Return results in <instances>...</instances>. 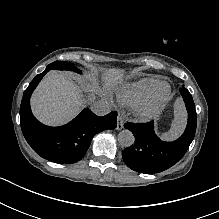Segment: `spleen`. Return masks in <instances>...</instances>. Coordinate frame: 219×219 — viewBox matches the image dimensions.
Returning <instances> with one entry per match:
<instances>
[{"mask_svg": "<svg viewBox=\"0 0 219 219\" xmlns=\"http://www.w3.org/2000/svg\"><path fill=\"white\" fill-rule=\"evenodd\" d=\"M187 113L184 103L181 98H177L174 103V120L168 132L161 135V139L165 141H172L177 139L186 127Z\"/></svg>", "mask_w": 219, "mask_h": 219, "instance_id": "obj_1", "label": "spleen"}]
</instances>
